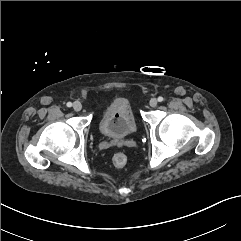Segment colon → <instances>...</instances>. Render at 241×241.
I'll use <instances>...</instances> for the list:
<instances>
[{
    "instance_id": "obj_1",
    "label": "colon",
    "mask_w": 241,
    "mask_h": 241,
    "mask_svg": "<svg viewBox=\"0 0 241 241\" xmlns=\"http://www.w3.org/2000/svg\"><path fill=\"white\" fill-rule=\"evenodd\" d=\"M127 156L124 153H116L113 156V164L118 167V168H122L127 164Z\"/></svg>"
}]
</instances>
